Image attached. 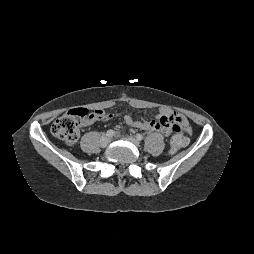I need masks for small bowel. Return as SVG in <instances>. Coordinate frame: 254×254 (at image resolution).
<instances>
[{"instance_id":"small-bowel-1","label":"small bowel","mask_w":254,"mask_h":254,"mask_svg":"<svg viewBox=\"0 0 254 254\" xmlns=\"http://www.w3.org/2000/svg\"><path fill=\"white\" fill-rule=\"evenodd\" d=\"M98 113L99 116L96 119L86 121L85 125L92 124L95 121H106L115 116L114 114L105 112L103 110H99ZM175 117L182 116L179 113L174 112L167 106L160 107L156 118L152 120H138L128 114L123 115L125 123L130 127L143 129L145 131L160 132L165 135L170 134V124Z\"/></svg>"}]
</instances>
